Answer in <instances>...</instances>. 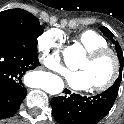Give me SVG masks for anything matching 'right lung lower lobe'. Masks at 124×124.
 Segmentation results:
<instances>
[{"label": "right lung lower lobe", "instance_id": "right-lung-lower-lobe-1", "mask_svg": "<svg viewBox=\"0 0 124 124\" xmlns=\"http://www.w3.org/2000/svg\"><path fill=\"white\" fill-rule=\"evenodd\" d=\"M39 65L37 47L25 39L0 37V119L18 110L27 94L21 78Z\"/></svg>", "mask_w": 124, "mask_h": 124}]
</instances>
